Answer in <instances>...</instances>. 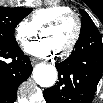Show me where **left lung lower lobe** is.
Masks as SVG:
<instances>
[{"instance_id": "1", "label": "left lung lower lobe", "mask_w": 103, "mask_h": 103, "mask_svg": "<svg viewBox=\"0 0 103 103\" xmlns=\"http://www.w3.org/2000/svg\"><path fill=\"white\" fill-rule=\"evenodd\" d=\"M56 85L44 90L47 103H91L103 72V42L98 29L88 30L71 55L56 64Z\"/></svg>"}]
</instances>
